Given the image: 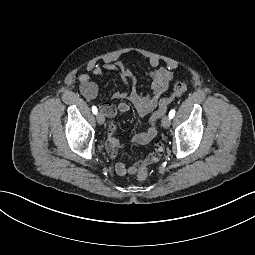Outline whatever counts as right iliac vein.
<instances>
[{
	"label": "right iliac vein",
	"instance_id": "1",
	"mask_svg": "<svg viewBox=\"0 0 255 255\" xmlns=\"http://www.w3.org/2000/svg\"><path fill=\"white\" fill-rule=\"evenodd\" d=\"M98 124L102 125L105 121V116L102 112H99L96 116Z\"/></svg>",
	"mask_w": 255,
	"mask_h": 255
}]
</instances>
